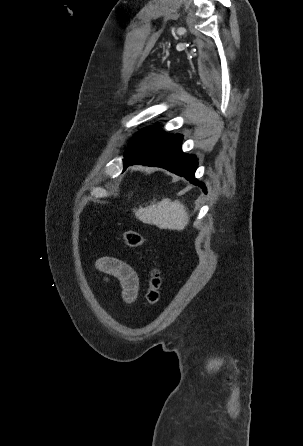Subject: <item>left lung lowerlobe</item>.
Listing matches in <instances>:
<instances>
[{"label":"left lung lower lobe","mask_w":303,"mask_h":446,"mask_svg":"<svg viewBox=\"0 0 303 446\" xmlns=\"http://www.w3.org/2000/svg\"><path fill=\"white\" fill-rule=\"evenodd\" d=\"M183 136L171 135L147 148L141 154L124 162V170L131 165L147 164L148 166L163 167L179 176L190 180L194 185H199L206 192L203 183L198 182L195 171L198 161L194 155L184 154L181 149Z\"/></svg>","instance_id":"left-lung-lower-lobe-1"}]
</instances>
